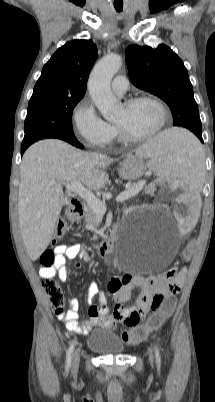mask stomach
Wrapping results in <instances>:
<instances>
[{
    "instance_id": "0dacf381",
    "label": "stomach",
    "mask_w": 215,
    "mask_h": 402,
    "mask_svg": "<svg viewBox=\"0 0 215 402\" xmlns=\"http://www.w3.org/2000/svg\"><path fill=\"white\" fill-rule=\"evenodd\" d=\"M145 165L139 155H128L120 163L118 174L125 180H138L145 172Z\"/></svg>"
}]
</instances>
